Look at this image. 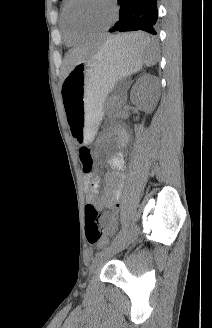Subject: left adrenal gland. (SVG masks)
<instances>
[{
	"mask_svg": "<svg viewBox=\"0 0 212 328\" xmlns=\"http://www.w3.org/2000/svg\"><path fill=\"white\" fill-rule=\"evenodd\" d=\"M126 91H127V89L125 90V94H126ZM126 97H127V95H126ZM127 100V98H125V101Z\"/></svg>",
	"mask_w": 212,
	"mask_h": 328,
	"instance_id": "a2214340",
	"label": "left adrenal gland"
}]
</instances>
